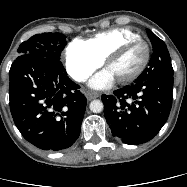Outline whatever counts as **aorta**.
<instances>
[{"label":"aorta","mask_w":187,"mask_h":187,"mask_svg":"<svg viewBox=\"0 0 187 187\" xmlns=\"http://www.w3.org/2000/svg\"><path fill=\"white\" fill-rule=\"evenodd\" d=\"M89 108L93 113H100L103 111L104 105L101 100H93L90 102Z\"/></svg>","instance_id":"aorta-1"}]
</instances>
